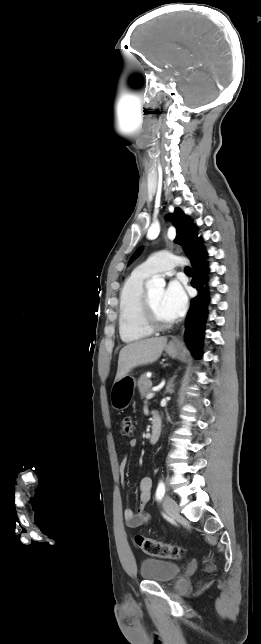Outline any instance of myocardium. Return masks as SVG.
<instances>
[{"label":"myocardium","mask_w":261,"mask_h":644,"mask_svg":"<svg viewBox=\"0 0 261 644\" xmlns=\"http://www.w3.org/2000/svg\"><path fill=\"white\" fill-rule=\"evenodd\" d=\"M142 319L144 324L152 331L166 330L174 323L172 320L163 322L156 317L149 291L147 290L144 291L142 299Z\"/></svg>","instance_id":"f54148a6"}]
</instances>
